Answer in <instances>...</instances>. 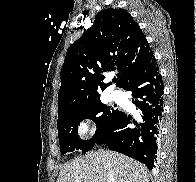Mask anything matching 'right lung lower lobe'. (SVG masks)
<instances>
[{
  "instance_id": "1",
  "label": "right lung lower lobe",
  "mask_w": 196,
  "mask_h": 182,
  "mask_svg": "<svg viewBox=\"0 0 196 182\" xmlns=\"http://www.w3.org/2000/svg\"><path fill=\"white\" fill-rule=\"evenodd\" d=\"M125 90L132 92L141 117L134 120L119 111L95 144H107L110 150L134 158L151 170L157 157L164 103V85L155 58L130 80Z\"/></svg>"
}]
</instances>
